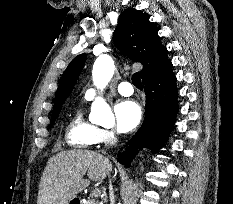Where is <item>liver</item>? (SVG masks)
<instances>
[{"label": "liver", "mask_w": 233, "mask_h": 204, "mask_svg": "<svg viewBox=\"0 0 233 204\" xmlns=\"http://www.w3.org/2000/svg\"><path fill=\"white\" fill-rule=\"evenodd\" d=\"M112 171L108 158L93 151H61L52 156L39 183L37 204H69L91 181H102ZM89 179H83L86 174Z\"/></svg>", "instance_id": "obj_1"}]
</instances>
